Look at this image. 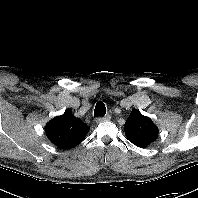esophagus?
Here are the masks:
<instances>
[{"instance_id":"esophagus-1","label":"esophagus","mask_w":198,"mask_h":198,"mask_svg":"<svg viewBox=\"0 0 198 198\" xmlns=\"http://www.w3.org/2000/svg\"><path fill=\"white\" fill-rule=\"evenodd\" d=\"M111 119V116L110 115H106L105 117H98L96 118V123H102V122H105V121H109Z\"/></svg>"}]
</instances>
